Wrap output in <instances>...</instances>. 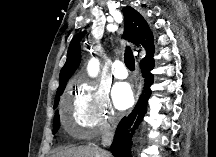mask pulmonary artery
<instances>
[{"label": "pulmonary artery", "mask_w": 216, "mask_h": 157, "mask_svg": "<svg viewBox=\"0 0 216 157\" xmlns=\"http://www.w3.org/2000/svg\"><path fill=\"white\" fill-rule=\"evenodd\" d=\"M112 72L113 75L118 79H125L128 75L125 64L120 60H116L113 62Z\"/></svg>", "instance_id": "1"}]
</instances>
